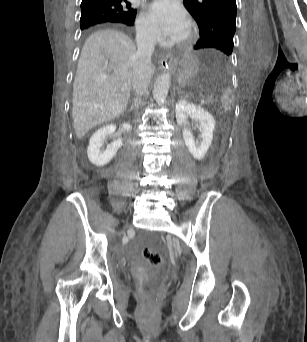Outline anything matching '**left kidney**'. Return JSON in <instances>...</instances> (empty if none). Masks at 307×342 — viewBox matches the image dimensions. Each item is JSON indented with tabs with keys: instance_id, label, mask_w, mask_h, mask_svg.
Segmentation results:
<instances>
[{
	"instance_id": "left-kidney-1",
	"label": "left kidney",
	"mask_w": 307,
	"mask_h": 342,
	"mask_svg": "<svg viewBox=\"0 0 307 342\" xmlns=\"http://www.w3.org/2000/svg\"><path fill=\"white\" fill-rule=\"evenodd\" d=\"M175 114L178 126L186 124L189 118L196 122L198 130L201 132L202 140L200 144L199 142H195V138L193 134H191L190 128H184V130H182L183 140L193 158H195V160H203L211 146L213 132L216 126L212 114L206 112L201 106L190 104L187 100H178Z\"/></svg>"
}]
</instances>
